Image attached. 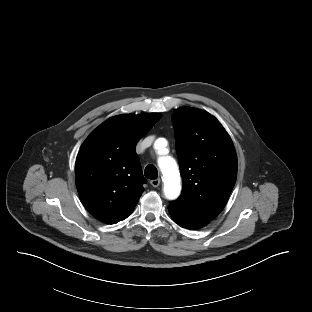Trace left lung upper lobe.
<instances>
[{
  "label": "left lung upper lobe",
  "instance_id": "obj_1",
  "mask_svg": "<svg viewBox=\"0 0 312 312\" xmlns=\"http://www.w3.org/2000/svg\"><path fill=\"white\" fill-rule=\"evenodd\" d=\"M172 123L183 189L168 208L207 224L224 208L236 181L233 142L219 121L201 109H176Z\"/></svg>",
  "mask_w": 312,
  "mask_h": 312
}]
</instances>
